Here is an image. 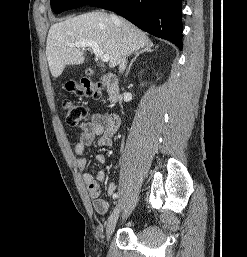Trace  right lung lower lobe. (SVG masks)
Wrapping results in <instances>:
<instances>
[{"label": "right lung lower lobe", "instance_id": "right-lung-lower-lobe-1", "mask_svg": "<svg viewBox=\"0 0 247 257\" xmlns=\"http://www.w3.org/2000/svg\"><path fill=\"white\" fill-rule=\"evenodd\" d=\"M89 5L114 11L182 50L181 0H94Z\"/></svg>", "mask_w": 247, "mask_h": 257}]
</instances>
